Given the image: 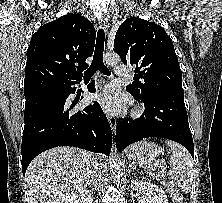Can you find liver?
<instances>
[{"instance_id": "6515ba94", "label": "liver", "mask_w": 222, "mask_h": 203, "mask_svg": "<svg viewBox=\"0 0 222 203\" xmlns=\"http://www.w3.org/2000/svg\"><path fill=\"white\" fill-rule=\"evenodd\" d=\"M98 160L90 152L74 147L47 150L30 163L26 182L30 203H65L83 191Z\"/></svg>"}]
</instances>
